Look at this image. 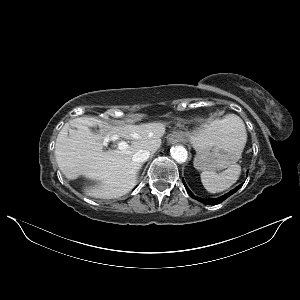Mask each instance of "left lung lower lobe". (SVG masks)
<instances>
[{
    "instance_id": "left-lung-lower-lobe-1",
    "label": "left lung lower lobe",
    "mask_w": 300,
    "mask_h": 300,
    "mask_svg": "<svg viewBox=\"0 0 300 300\" xmlns=\"http://www.w3.org/2000/svg\"><path fill=\"white\" fill-rule=\"evenodd\" d=\"M183 184H184V186H185V188H186L188 194H189L192 198H194V199H196V200H198V201H200V202H202V203H204V204H206V205H209V204H211V205H216V204H219V203L223 202L226 198H228L230 195H232L233 193H235V192H236L238 189H240L241 186H242V185L237 186L236 188H234L233 190H231L229 193H227V194H225V195H223V196H221V197H218V198H210V199H204V198L196 197V196L189 190V188H188L187 185L185 184L184 180H183Z\"/></svg>"
}]
</instances>
